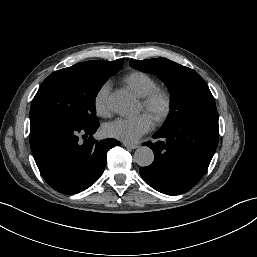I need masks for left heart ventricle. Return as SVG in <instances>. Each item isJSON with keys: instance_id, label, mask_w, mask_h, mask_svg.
Here are the masks:
<instances>
[{"instance_id": "b2bd125f", "label": "left heart ventricle", "mask_w": 257, "mask_h": 257, "mask_svg": "<svg viewBox=\"0 0 257 257\" xmlns=\"http://www.w3.org/2000/svg\"><path fill=\"white\" fill-rule=\"evenodd\" d=\"M141 109H142V110H145L142 103H141ZM146 112H147L148 114H150V115L153 117V113H152V112H150V111H146Z\"/></svg>"}]
</instances>
